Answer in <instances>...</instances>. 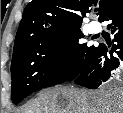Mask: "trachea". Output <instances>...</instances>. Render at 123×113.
<instances>
[{
	"instance_id": "obj_1",
	"label": "trachea",
	"mask_w": 123,
	"mask_h": 113,
	"mask_svg": "<svg viewBox=\"0 0 123 113\" xmlns=\"http://www.w3.org/2000/svg\"><path fill=\"white\" fill-rule=\"evenodd\" d=\"M98 11V8H95V12H97Z\"/></svg>"
}]
</instances>
